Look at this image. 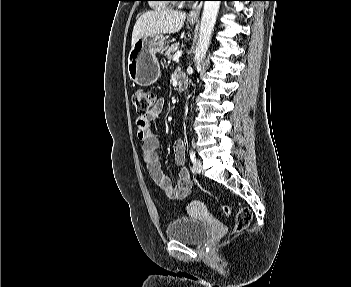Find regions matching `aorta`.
<instances>
[{
  "mask_svg": "<svg viewBox=\"0 0 351 287\" xmlns=\"http://www.w3.org/2000/svg\"><path fill=\"white\" fill-rule=\"evenodd\" d=\"M220 8V1H205L201 17L200 33L195 50V63L200 65L207 53L216 17Z\"/></svg>",
  "mask_w": 351,
  "mask_h": 287,
  "instance_id": "762f6f07",
  "label": "aorta"
}]
</instances>
